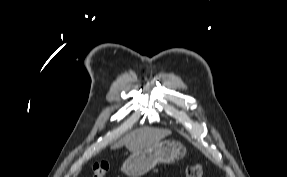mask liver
Segmentation results:
<instances>
[{"label":"liver","instance_id":"obj_1","mask_svg":"<svg viewBox=\"0 0 287 177\" xmlns=\"http://www.w3.org/2000/svg\"><path fill=\"white\" fill-rule=\"evenodd\" d=\"M170 134L171 131L167 129L142 127L125 135L112 148H119L124 145L132 153L139 152L160 142Z\"/></svg>","mask_w":287,"mask_h":177}]
</instances>
